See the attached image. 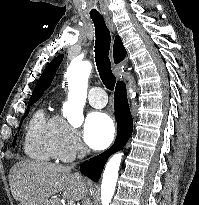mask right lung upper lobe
<instances>
[{
	"label": "right lung upper lobe",
	"mask_w": 199,
	"mask_h": 205,
	"mask_svg": "<svg viewBox=\"0 0 199 205\" xmlns=\"http://www.w3.org/2000/svg\"><path fill=\"white\" fill-rule=\"evenodd\" d=\"M113 56H114V62L119 63L126 57V50L123 46L122 40L119 36L115 37L114 46H113ZM63 60V55H59L55 59H53L48 66L44 69L43 73L41 74L36 87L32 93V96L29 100H38L44 93V90H46L56 73V70L58 69L61 61Z\"/></svg>",
	"instance_id": "obj_1"
}]
</instances>
